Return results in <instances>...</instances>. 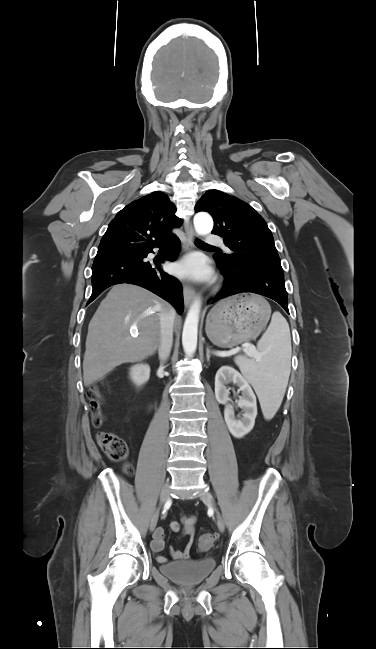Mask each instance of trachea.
<instances>
[{
    "instance_id": "trachea-1",
    "label": "trachea",
    "mask_w": 376,
    "mask_h": 649,
    "mask_svg": "<svg viewBox=\"0 0 376 649\" xmlns=\"http://www.w3.org/2000/svg\"><path fill=\"white\" fill-rule=\"evenodd\" d=\"M196 245H197V246H203V247H211V248H214L213 246L208 245V244L204 243L203 241H201V240H199V239L196 240Z\"/></svg>"
}]
</instances>
